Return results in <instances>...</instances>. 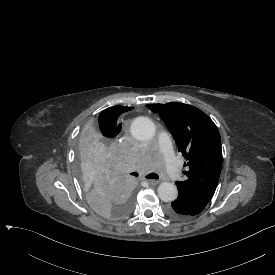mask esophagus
I'll return each instance as SVG.
<instances>
[{
  "mask_svg": "<svg viewBox=\"0 0 275 275\" xmlns=\"http://www.w3.org/2000/svg\"><path fill=\"white\" fill-rule=\"evenodd\" d=\"M146 181L150 186H155L159 183L158 180H154V179H147Z\"/></svg>",
  "mask_w": 275,
  "mask_h": 275,
  "instance_id": "obj_1",
  "label": "esophagus"
}]
</instances>
